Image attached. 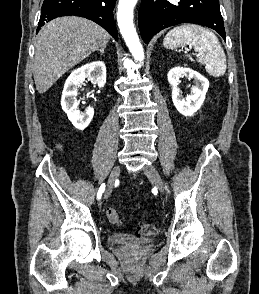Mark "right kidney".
I'll use <instances>...</instances> for the list:
<instances>
[{
    "label": "right kidney",
    "instance_id": "right-kidney-1",
    "mask_svg": "<svg viewBox=\"0 0 259 294\" xmlns=\"http://www.w3.org/2000/svg\"><path fill=\"white\" fill-rule=\"evenodd\" d=\"M86 78H89L99 88L104 87L106 83L105 64L102 61H95L83 65L74 70L65 82L61 97V106L74 127L79 130H84L94 115L93 107H88L84 113L78 109L79 101L76 99L78 94L77 88Z\"/></svg>",
    "mask_w": 259,
    "mask_h": 294
}]
</instances>
